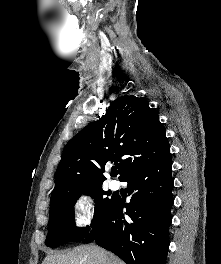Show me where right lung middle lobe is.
I'll return each mask as SVG.
<instances>
[{
    "mask_svg": "<svg viewBox=\"0 0 221 264\" xmlns=\"http://www.w3.org/2000/svg\"><path fill=\"white\" fill-rule=\"evenodd\" d=\"M89 195L95 201V211L90 226L77 228L74 219V205L82 195ZM102 186L67 195L50 207L46 246L56 247L71 241L83 240L112 208L117 197L111 196Z\"/></svg>",
    "mask_w": 221,
    "mask_h": 264,
    "instance_id": "1",
    "label": "right lung middle lobe"
}]
</instances>
